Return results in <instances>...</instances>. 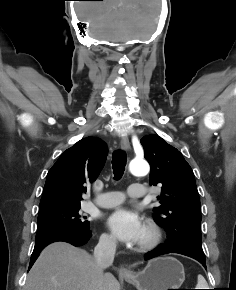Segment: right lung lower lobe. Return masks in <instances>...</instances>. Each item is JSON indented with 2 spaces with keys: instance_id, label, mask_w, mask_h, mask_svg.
Returning <instances> with one entry per match:
<instances>
[{
  "instance_id": "1",
  "label": "right lung lower lobe",
  "mask_w": 236,
  "mask_h": 290,
  "mask_svg": "<svg viewBox=\"0 0 236 290\" xmlns=\"http://www.w3.org/2000/svg\"><path fill=\"white\" fill-rule=\"evenodd\" d=\"M91 237V231L89 229L73 231V232H57L52 233L40 238H36L35 247L31 255L29 269L39 256L42 249L48 244L56 241H64L71 243L74 246H80L85 244Z\"/></svg>"
}]
</instances>
